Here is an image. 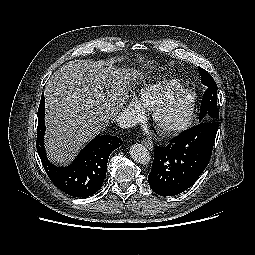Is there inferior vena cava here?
<instances>
[{
    "mask_svg": "<svg viewBox=\"0 0 255 255\" xmlns=\"http://www.w3.org/2000/svg\"><path fill=\"white\" fill-rule=\"evenodd\" d=\"M116 121L121 128H131L135 126L136 122L128 111H122L116 117Z\"/></svg>",
    "mask_w": 255,
    "mask_h": 255,
    "instance_id": "1",
    "label": "inferior vena cava"
}]
</instances>
